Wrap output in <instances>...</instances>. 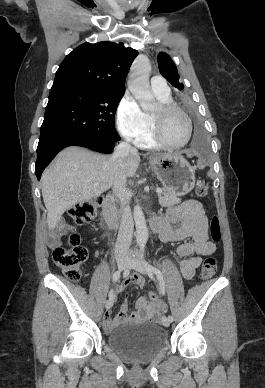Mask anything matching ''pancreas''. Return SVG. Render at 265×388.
I'll return each mask as SVG.
<instances>
[{
  "label": "pancreas",
  "mask_w": 265,
  "mask_h": 388,
  "mask_svg": "<svg viewBox=\"0 0 265 388\" xmlns=\"http://www.w3.org/2000/svg\"><path fill=\"white\" fill-rule=\"evenodd\" d=\"M159 204L162 208H167V206H173V204H179L180 198H177L175 194H170V192H162V196H158Z\"/></svg>",
  "instance_id": "cf45deb5"
}]
</instances>
